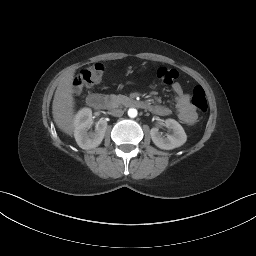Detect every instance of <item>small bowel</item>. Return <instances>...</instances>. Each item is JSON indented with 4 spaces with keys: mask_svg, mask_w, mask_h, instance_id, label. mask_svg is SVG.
I'll return each instance as SVG.
<instances>
[{
    "mask_svg": "<svg viewBox=\"0 0 256 256\" xmlns=\"http://www.w3.org/2000/svg\"><path fill=\"white\" fill-rule=\"evenodd\" d=\"M172 91L175 95L179 119L187 125L194 124L197 120V113L190 102V96L183 91L181 84L178 82L172 85ZM150 108L153 113L160 116H168L171 113L168 107L161 104L152 105Z\"/></svg>",
    "mask_w": 256,
    "mask_h": 256,
    "instance_id": "c3829d8e",
    "label": "small bowel"
}]
</instances>
